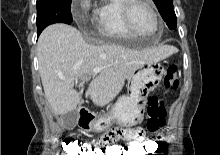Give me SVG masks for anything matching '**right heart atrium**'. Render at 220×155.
<instances>
[{
	"label": "right heart atrium",
	"mask_w": 220,
	"mask_h": 155,
	"mask_svg": "<svg viewBox=\"0 0 220 155\" xmlns=\"http://www.w3.org/2000/svg\"><path fill=\"white\" fill-rule=\"evenodd\" d=\"M89 7V2L88 0H82L80 3V8L81 10H86ZM79 18V17H78Z\"/></svg>",
	"instance_id": "d8ad5b80"
}]
</instances>
